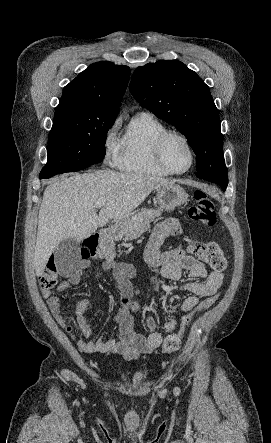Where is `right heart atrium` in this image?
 <instances>
[{
    "instance_id": "d8ad5b80",
    "label": "right heart atrium",
    "mask_w": 271,
    "mask_h": 443,
    "mask_svg": "<svg viewBox=\"0 0 271 443\" xmlns=\"http://www.w3.org/2000/svg\"><path fill=\"white\" fill-rule=\"evenodd\" d=\"M122 124V115H117L109 125L104 138L103 150L105 159L110 164H115L121 150V142L118 139L117 132Z\"/></svg>"
}]
</instances>
